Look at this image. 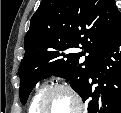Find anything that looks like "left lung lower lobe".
Listing matches in <instances>:
<instances>
[{"label": "left lung lower lobe", "instance_id": "0a47b994", "mask_svg": "<svg viewBox=\"0 0 121 113\" xmlns=\"http://www.w3.org/2000/svg\"><path fill=\"white\" fill-rule=\"evenodd\" d=\"M80 96L90 99L88 113H121V21L101 49Z\"/></svg>", "mask_w": 121, "mask_h": 113}]
</instances>
